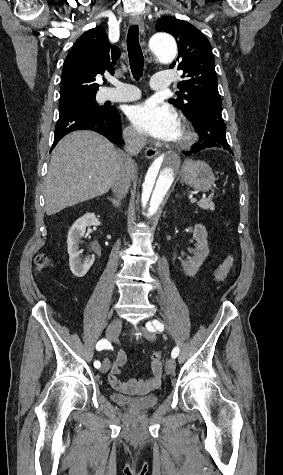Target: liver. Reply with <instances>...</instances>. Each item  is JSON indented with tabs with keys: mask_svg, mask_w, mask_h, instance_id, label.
Here are the masks:
<instances>
[{
	"mask_svg": "<svg viewBox=\"0 0 283 475\" xmlns=\"http://www.w3.org/2000/svg\"><path fill=\"white\" fill-rule=\"evenodd\" d=\"M120 156L107 138L91 130L71 132L60 140L44 184L47 216L106 194L113 186Z\"/></svg>",
	"mask_w": 283,
	"mask_h": 475,
	"instance_id": "obj_1",
	"label": "liver"
}]
</instances>
